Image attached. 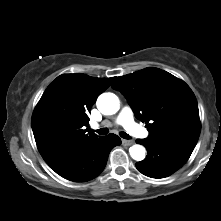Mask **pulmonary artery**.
I'll list each match as a JSON object with an SVG mask.
<instances>
[{
  "label": "pulmonary artery",
  "mask_w": 221,
  "mask_h": 221,
  "mask_svg": "<svg viewBox=\"0 0 221 221\" xmlns=\"http://www.w3.org/2000/svg\"><path fill=\"white\" fill-rule=\"evenodd\" d=\"M115 124L123 126L134 137L145 138L148 136V132L134 121L132 110L129 107H124L121 110ZM98 127V124L93 125L95 129Z\"/></svg>",
  "instance_id": "e3ab8cb5"
}]
</instances>
